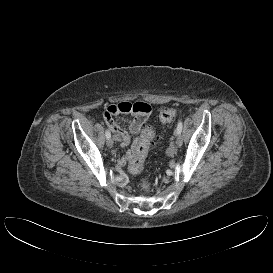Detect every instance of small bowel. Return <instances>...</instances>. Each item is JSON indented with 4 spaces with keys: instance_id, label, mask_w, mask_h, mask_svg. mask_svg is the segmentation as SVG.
I'll list each match as a JSON object with an SVG mask.
<instances>
[{
    "instance_id": "1",
    "label": "small bowel",
    "mask_w": 273,
    "mask_h": 273,
    "mask_svg": "<svg viewBox=\"0 0 273 273\" xmlns=\"http://www.w3.org/2000/svg\"><path fill=\"white\" fill-rule=\"evenodd\" d=\"M118 114L134 115V119L129 126L130 133L136 136L132 143L130 135L125 130L120 128L119 125L114 121V116ZM150 114L151 107L145 102H120L118 104L109 105L105 109L103 117L106 124L111 129L114 139L120 144L121 147H126L130 143L132 144L131 149L128 150L122 157L118 158V162L120 165H125L127 161L131 159L134 147L140 139L138 136L141 133V130L143 129L144 124Z\"/></svg>"
}]
</instances>
